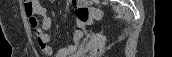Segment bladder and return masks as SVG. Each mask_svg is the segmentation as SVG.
<instances>
[{
	"label": "bladder",
	"mask_w": 172,
	"mask_h": 57,
	"mask_svg": "<svg viewBox=\"0 0 172 57\" xmlns=\"http://www.w3.org/2000/svg\"><path fill=\"white\" fill-rule=\"evenodd\" d=\"M73 57H91V56L88 55L87 52H85V53H77V54L74 55Z\"/></svg>",
	"instance_id": "31cf9c89"
}]
</instances>
